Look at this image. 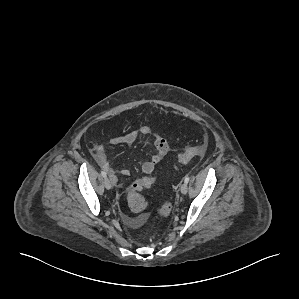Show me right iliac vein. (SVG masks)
<instances>
[{
	"instance_id": "right-iliac-vein-1",
	"label": "right iliac vein",
	"mask_w": 299,
	"mask_h": 299,
	"mask_svg": "<svg viewBox=\"0 0 299 299\" xmlns=\"http://www.w3.org/2000/svg\"><path fill=\"white\" fill-rule=\"evenodd\" d=\"M104 185H105L106 189H108V190L111 189L112 188V180L109 178H105Z\"/></svg>"
}]
</instances>
